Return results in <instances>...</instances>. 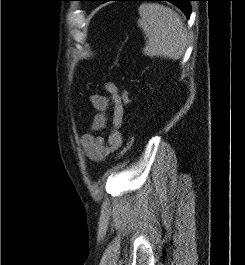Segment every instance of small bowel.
<instances>
[{
  "mask_svg": "<svg viewBox=\"0 0 245 265\" xmlns=\"http://www.w3.org/2000/svg\"><path fill=\"white\" fill-rule=\"evenodd\" d=\"M108 95L92 94L89 97L91 106L97 111L91 126V132L80 138V146L85 155L93 161H102L109 154L120 148L123 142L121 125L124 114V104L118 87L108 82L105 84ZM111 115L112 128L105 140L95 133L107 126Z\"/></svg>",
  "mask_w": 245,
  "mask_h": 265,
  "instance_id": "c3829d8e",
  "label": "small bowel"
}]
</instances>
